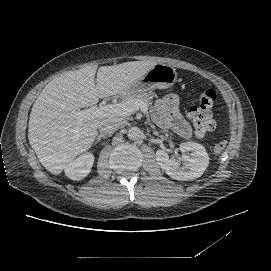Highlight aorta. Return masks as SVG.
<instances>
[{"label": "aorta", "mask_w": 271, "mask_h": 271, "mask_svg": "<svg viewBox=\"0 0 271 271\" xmlns=\"http://www.w3.org/2000/svg\"><path fill=\"white\" fill-rule=\"evenodd\" d=\"M142 132L138 127H131L128 132L127 136L130 140H137L141 137Z\"/></svg>", "instance_id": "762f6f07"}]
</instances>
